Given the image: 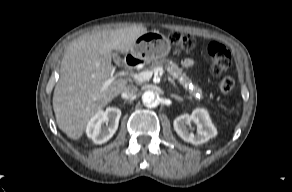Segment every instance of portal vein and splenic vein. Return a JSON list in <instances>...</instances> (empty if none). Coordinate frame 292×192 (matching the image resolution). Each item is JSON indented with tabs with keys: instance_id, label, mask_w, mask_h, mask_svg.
<instances>
[{
	"instance_id": "obj_1",
	"label": "portal vein and splenic vein",
	"mask_w": 292,
	"mask_h": 192,
	"mask_svg": "<svg viewBox=\"0 0 292 192\" xmlns=\"http://www.w3.org/2000/svg\"><path fill=\"white\" fill-rule=\"evenodd\" d=\"M164 73H165V71L162 67H157L153 70L143 71L140 73H130V72L122 71V72L117 73L115 76H111L110 78H108L105 81V83L103 84V86L101 88V92H104L105 89L119 76H129L136 81L144 82V81L150 80L153 74L162 75ZM167 78L171 82V84H173V86H175L174 80L169 75H167Z\"/></svg>"
}]
</instances>
